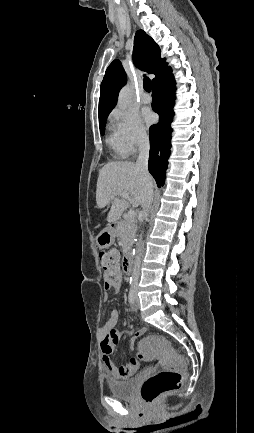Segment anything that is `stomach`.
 I'll list each match as a JSON object with an SVG mask.
<instances>
[{
	"label": "stomach",
	"mask_w": 254,
	"mask_h": 433,
	"mask_svg": "<svg viewBox=\"0 0 254 433\" xmlns=\"http://www.w3.org/2000/svg\"><path fill=\"white\" fill-rule=\"evenodd\" d=\"M115 237V229L112 227H108L98 234V236L96 237V243L99 248L105 249L110 247L114 243Z\"/></svg>",
	"instance_id": "0dacf381"
}]
</instances>
